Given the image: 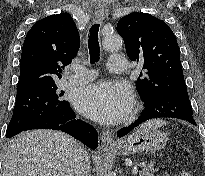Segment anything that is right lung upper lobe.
Instances as JSON below:
<instances>
[{"label":"right lung upper lobe","instance_id":"obj_1","mask_svg":"<svg viewBox=\"0 0 205 176\" xmlns=\"http://www.w3.org/2000/svg\"><path fill=\"white\" fill-rule=\"evenodd\" d=\"M79 44V33L70 14L51 15L36 22L23 44L17 95L56 86Z\"/></svg>","mask_w":205,"mask_h":176}]
</instances>
